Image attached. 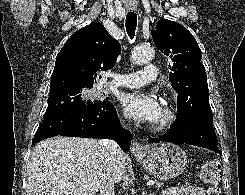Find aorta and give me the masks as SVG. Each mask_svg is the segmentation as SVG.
<instances>
[{
    "label": "aorta",
    "mask_w": 245,
    "mask_h": 195,
    "mask_svg": "<svg viewBox=\"0 0 245 195\" xmlns=\"http://www.w3.org/2000/svg\"><path fill=\"white\" fill-rule=\"evenodd\" d=\"M154 57V49L150 45H140L134 48L131 61L136 65L149 63Z\"/></svg>",
    "instance_id": "1"
}]
</instances>
